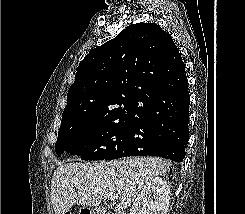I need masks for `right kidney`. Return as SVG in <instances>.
I'll list each match as a JSON object with an SVG mask.
<instances>
[{"mask_svg":"<svg viewBox=\"0 0 245 214\" xmlns=\"http://www.w3.org/2000/svg\"><path fill=\"white\" fill-rule=\"evenodd\" d=\"M170 187L160 177L150 180L138 194L129 214H167Z\"/></svg>","mask_w":245,"mask_h":214,"instance_id":"obj_1","label":"right kidney"}]
</instances>
